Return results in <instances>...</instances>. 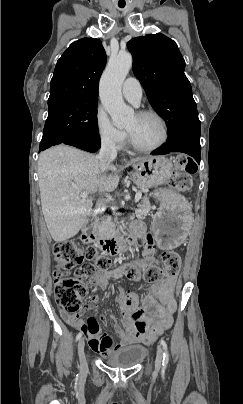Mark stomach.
<instances>
[{
	"label": "stomach",
	"instance_id": "0dacf381",
	"mask_svg": "<svg viewBox=\"0 0 243 404\" xmlns=\"http://www.w3.org/2000/svg\"><path fill=\"white\" fill-rule=\"evenodd\" d=\"M132 166L135 184L144 189L163 185L173 175V164L164 156L147 157ZM154 196L160 200L152 222L158 245L165 250L174 249L185 240L191 228V207L182 195L169 190H159Z\"/></svg>",
	"mask_w": 243,
	"mask_h": 404
}]
</instances>
